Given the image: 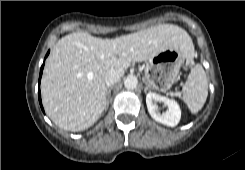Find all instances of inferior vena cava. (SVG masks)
<instances>
[{"label": "inferior vena cava", "mask_w": 245, "mask_h": 170, "mask_svg": "<svg viewBox=\"0 0 245 170\" xmlns=\"http://www.w3.org/2000/svg\"><path fill=\"white\" fill-rule=\"evenodd\" d=\"M124 74L123 71L111 69L105 74V83L107 87L112 86L119 82L121 76Z\"/></svg>", "instance_id": "inferior-vena-cava-1"}]
</instances>
